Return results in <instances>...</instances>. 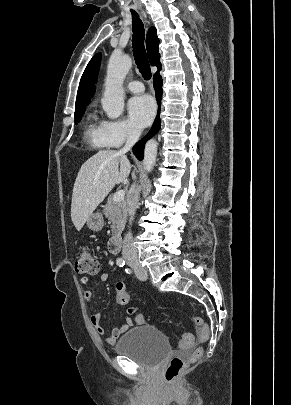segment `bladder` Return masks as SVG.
<instances>
[{
	"instance_id": "31cf9c89",
	"label": "bladder",
	"mask_w": 291,
	"mask_h": 405,
	"mask_svg": "<svg viewBox=\"0 0 291 405\" xmlns=\"http://www.w3.org/2000/svg\"><path fill=\"white\" fill-rule=\"evenodd\" d=\"M125 356L147 369L157 368L170 352L167 336L158 328L142 325L129 330L114 347Z\"/></svg>"
}]
</instances>
